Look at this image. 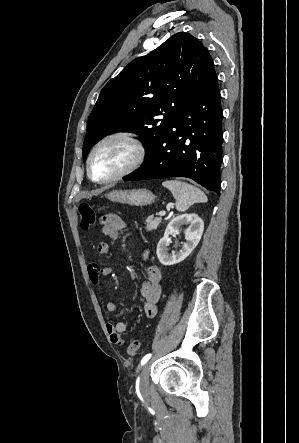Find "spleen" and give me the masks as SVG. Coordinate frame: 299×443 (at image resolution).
<instances>
[{
  "label": "spleen",
  "instance_id": "1",
  "mask_svg": "<svg viewBox=\"0 0 299 443\" xmlns=\"http://www.w3.org/2000/svg\"><path fill=\"white\" fill-rule=\"evenodd\" d=\"M162 185L169 189L176 199V209L186 211L191 205L207 202V196L199 188L178 180H167Z\"/></svg>",
  "mask_w": 299,
  "mask_h": 443
}]
</instances>
